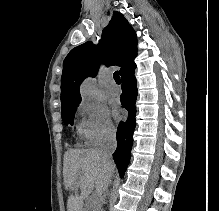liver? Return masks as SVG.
<instances>
[{
    "mask_svg": "<svg viewBox=\"0 0 219 211\" xmlns=\"http://www.w3.org/2000/svg\"><path fill=\"white\" fill-rule=\"evenodd\" d=\"M115 165L104 159L99 149H69L64 153V185L69 191L67 211H86L84 199L95 189V203H106Z\"/></svg>",
    "mask_w": 219,
    "mask_h": 211,
    "instance_id": "1",
    "label": "liver"
}]
</instances>
